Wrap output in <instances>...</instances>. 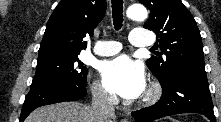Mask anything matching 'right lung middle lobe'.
I'll return each mask as SVG.
<instances>
[{"label":"right lung middle lobe","mask_w":221,"mask_h":122,"mask_svg":"<svg viewBox=\"0 0 221 122\" xmlns=\"http://www.w3.org/2000/svg\"><path fill=\"white\" fill-rule=\"evenodd\" d=\"M87 73L88 70L78 55L41 58L38 59L31 88L62 83L83 84L87 82Z\"/></svg>","instance_id":"right-lung-middle-lobe-1"}]
</instances>
